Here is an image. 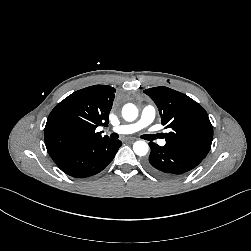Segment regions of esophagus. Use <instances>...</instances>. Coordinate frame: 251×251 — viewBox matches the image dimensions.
<instances>
[{"label":"esophagus","mask_w":251,"mask_h":251,"mask_svg":"<svg viewBox=\"0 0 251 251\" xmlns=\"http://www.w3.org/2000/svg\"><path fill=\"white\" fill-rule=\"evenodd\" d=\"M128 142H134L135 141V138H129L127 139Z\"/></svg>","instance_id":"obj_1"}]
</instances>
